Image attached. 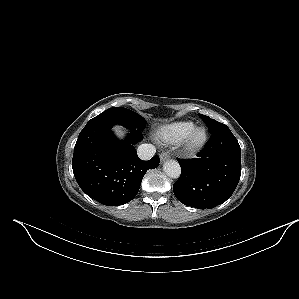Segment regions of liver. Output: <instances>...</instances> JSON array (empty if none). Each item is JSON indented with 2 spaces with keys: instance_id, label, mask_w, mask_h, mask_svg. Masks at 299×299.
Masks as SVG:
<instances>
[{
  "instance_id": "6515ba94",
  "label": "liver",
  "mask_w": 299,
  "mask_h": 299,
  "mask_svg": "<svg viewBox=\"0 0 299 299\" xmlns=\"http://www.w3.org/2000/svg\"><path fill=\"white\" fill-rule=\"evenodd\" d=\"M114 130L118 136H122V131L120 130L119 127H115Z\"/></svg>"
}]
</instances>
